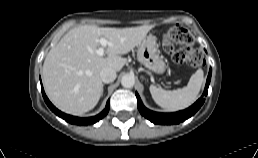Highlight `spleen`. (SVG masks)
Listing matches in <instances>:
<instances>
[{"instance_id":"obj_1","label":"spleen","mask_w":258,"mask_h":158,"mask_svg":"<svg viewBox=\"0 0 258 158\" xmlns=\"http://www.w3.org/2000/svg\"><path fill=\"white\" fill-rule=\"evenodd\" d=\"M203 80V70L198 69L191 76L187 86L173 91H166L161 88H157L154 85H151L150 93L153 100L161 108L168 111H178L189 107L196 101Z\"/></svg>"}]
</instances>
